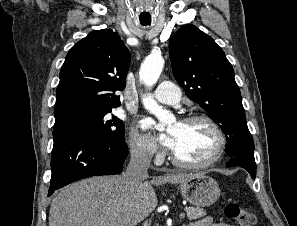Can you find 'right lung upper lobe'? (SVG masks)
<instances>
[{
  "label": "right lung upper lobe",
  "instance_id": "right-lung-upper-lobe-1",
  "mask_svg": "<svg viewBox=\"0 0 297 226\" xmlns=\"http://www.w3.org/2000/svg\"><path fill=\"white\" fill-rule=\"evenodd\" d=\"M130 53L110 29L96 30L76 43L62 65L56 91L55 120L120 106L115 91L125 88Z\"/></svg>",
  "mask_w": 297,
  "mask_h": 226
}]
</instances>
